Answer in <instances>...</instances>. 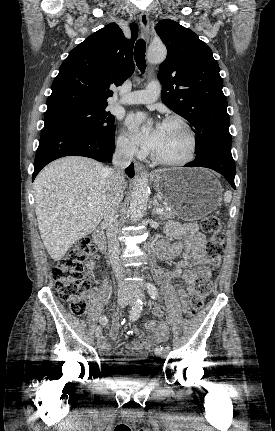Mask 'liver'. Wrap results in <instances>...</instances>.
<instances>
[{
	"label": "liver",
	"instance_id": "liver-1",
	"mask_svg": "<svg viewBox=\"0 0 275 431\" xmlns=\"http://www.w3.org/2000/svg\"><path fill=\"white\" fill-rule=\"evenodd\" d=\"M105 169L93 159L69 156L52 162L36 177L38 227L54 261L100 224L106 201Z\"/></svg>",
	"mask_w": 275,
	"mask_h": 431
}]
</instances>
